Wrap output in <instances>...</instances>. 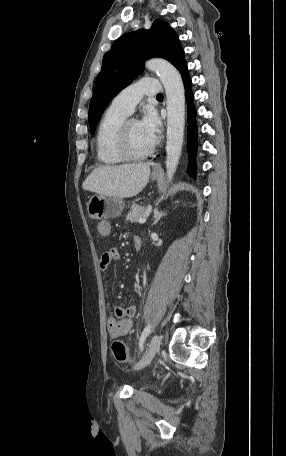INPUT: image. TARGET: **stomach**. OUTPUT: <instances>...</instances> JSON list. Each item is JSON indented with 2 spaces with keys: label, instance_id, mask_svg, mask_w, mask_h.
Listing matches in <instances>:
<instances>
[{
  "label": "stomach",
  "instance_id": "0dacf381",
  "mask_svg": "<svg viewBox=\"0 0 286 456\" xmlns=\"http://www.w3.org/2000/svg\"><path fill=\"white\" fill-rule=\"evenodd\" d=\"M152 179H158L159 175L153 173ZM125 207L122 198L105 195H94L87 203V211L92 219H110L119 216Z\"/></svg>",
  "mask_w": 286,
  "mask_h": 456
}]
</instances>
